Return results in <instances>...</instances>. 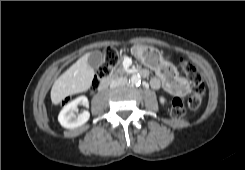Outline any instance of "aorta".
Listing matches in <instances>:
<instances>
[{
    "instance_id": "1",
    "label": "aorta",
    "mask_w": 245,
    "mask_h": 170,
    "mask_svg": "<svg viewBox=\"0 0 245 170\" xmlns=\"http://www.w3.org/2000/svg\"><path fill=\"white\" fill-rule=\"evenodd\" d=\"M141 82L140 77L138 75H132L130 78V83L132 85H139Z\"/></svg>"
}]
</instances>
